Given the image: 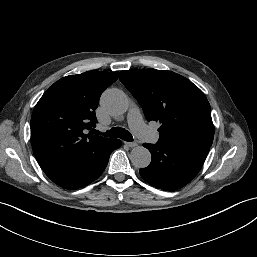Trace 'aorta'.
I'll list each match as a JSON object with an SVG mask.
<instances>
[{
	"instance_id": "obj_1",
	"label": "aorta",
	"mask_w": 257,
	"mask_h": 257,
	"mask_svg": "<svg viewBox=\"0 0 257 257\" xmlns=\"http://www.w3.org/2000/svg\"><path fill=\"white\" fill-rule=\"evenodd\" d=\"M102 108L112 116H120L124 114L129 107L128 97L124 92L118 89L106 90L100 100ZM130 160L137 168H145L151 162L150 151L143 147L137 146L131 150Z\"/></svg>"
}]
</instances>
